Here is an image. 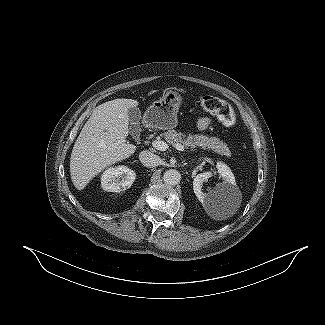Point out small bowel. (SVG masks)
Returning <instances> with one entry per match:
<instances>
[{
  "label": "small bowel",
  "mask_w": 325,
  "mask_h": 325,
  "mask_svg": "<svg viewBox=\"0 0 325 325\" xmlns=\"http://www.w3.org/2000/svg\"><path fill=\"white\" fill-rule=\"evenodd\" d=\"M210 124H211V119L209 117H201L197 121V129L201 131L206 130Z\"/></svg>",
  "instance_id": "1"
}]
</instances>
